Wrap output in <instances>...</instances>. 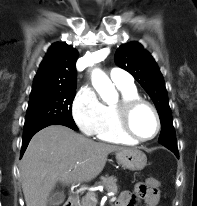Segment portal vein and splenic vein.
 I'll use <instances>...</instances> for the list:
<instances>
[{
	"instance_id": "obj_1",
	"label": "portal vein and splenic vein",
	"mask_w": 197,
	"mask_h": 206,
	"mask_svg": "<svg viewBox=\"0 0 197 206\" xmlns=\"http://www.w3.org/2000/svg\"><path fill=\"white\" fill-rule=\"evenodd\" d=\"M116 200V197L112 196L110 199V202H114Z\"/></svg>"
}]
</instances>
